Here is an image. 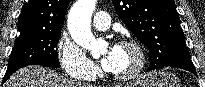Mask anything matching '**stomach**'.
I'll return each mask as SVG.
<instances>
[{"instance_id": "0dacf381", "label": "stomach", "mask_w": 205, "mask_h": 87, "mask_svg": "<svg viewBox=\"0 0 205 87\" xmlns=\"http://www.w3.org/2000/svg\"><path fill=\"white\" fill-rule=\"evenodd\" d=\"M126 87H180V83L174 74L154 71L140 75Z\"/></svg>"}]
</instances>
